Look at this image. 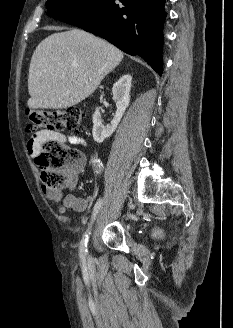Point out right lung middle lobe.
<instances>
[{
	"mask_svg": "<svg viewBox=\"0 0 233 328\" xmlns=\"http://www.w3.org/2000/svg\"><path fill=\"white\" fill-rule=\"evenodd\" d=\"M100 0H48L47 15L62 19L71 13L88 8Z\"/></svg>",
	"mask_w": 233,
	"mask_h": 328,
	"instance_id": "dd1d6c3e",
	"label": "right lung middle lobe"
}]
</instances>
